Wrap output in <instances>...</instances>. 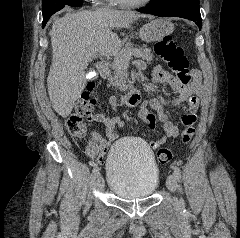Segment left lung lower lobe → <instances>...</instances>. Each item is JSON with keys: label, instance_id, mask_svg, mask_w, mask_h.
<instances>
[{"label": "left lung lower lobe", "instance_id": "left-lung-lower-lobe-1", "mask_svg": "<svg viewBox=\"0 0 240 238\" xmlns=\"http://www.w3.org/2000/svg\"><path fill=\"white\" fill-rule=\"evenodd\" d=\"M137 11L159 17L186 18L194 21L199 29L202 26L199 0H160L154 4H148Z\"/></svg>", "mask_w": 240, "mask_h": 238}]
</instances>
